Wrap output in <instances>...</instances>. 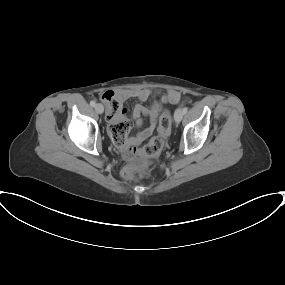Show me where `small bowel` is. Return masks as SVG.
<instances>
[{
	"label": "small bowel",
	"instance_id": "small-bowel-1",
	"mask_svg": "<svg viewBox=\"0 0 285 285\" xmlns=\"http://www.w3.org/2000/svg\"><path fill=\"white\" fill-rule=\"evenodd\" d=\"M117 98L120 102L126 101L130 98H136L139 101H146L151 95L152 92L149 89H136V90H120L117 92H108ZM103 100V99H102ZM181 100V94L176 90H169L165 94H162L154 103L146 107L142 104H137L132 109L131 118L136 126L142 124V117H148L150 120V125L138 132L135 136L129 137L126 139L125 144L122 145L123 148H128L130 146L139 144L146 139H148L155 130L156 121L160 111L165 104H177ZM106 118L110 125H113L120 121H125V110L121 107L118 113H111L107 110Z\"/></svg>",
	"mask_w": 285,
	"mask_h": 285
}]
</instances>
